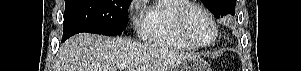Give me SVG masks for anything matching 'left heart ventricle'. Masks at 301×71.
<instances>
[{"instance_id":"1","label":"left heart ventricle","mask_w":301,"mask_h":71,"mask_svg":"<svg viewBox=\"0 0 301 71\" xmlns=\"http://www.w3.org/2000/svg\"><path fill=\"white\" fill-rule=\"evenodd\" d=\"M187 28L190 36L198 43L210 42L214 29L209 19L199 10H192L187 17Z\"/></svg>"}]
</instances>
